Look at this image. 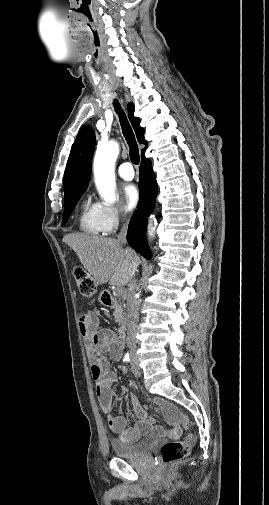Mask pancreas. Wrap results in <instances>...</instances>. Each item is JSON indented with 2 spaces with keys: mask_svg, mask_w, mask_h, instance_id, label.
Returning a JSON list of instances; mask_svg holds the SVG:
<instances>
[{
  "mask_svg": "<svg viewBox=\"0 0 269 505\" xmlns=\"http://www.w3.org/2000/svg\"><path fill=\"white\" fill-rule=\"evenodd\" d=\"M119 301H123L125 299V293L118 295ZM115 322L118 324H124L126 321V313H125V304L118 305L113 313Z\"/></svg>",
  "mask_w": 269,
  "mask_h": 505,
  "instance_id": "cf45deb5",
  "label": "pancreas"
}]
</instances>
